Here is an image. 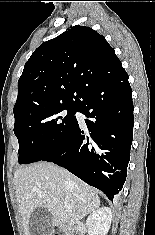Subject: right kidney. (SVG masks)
I'll list each match as a JSON object with an SVG mask.
<instances>
[{
    "instance_id": "obj_1",
    "label": "right kidney",
    "mask_w": 155,
    "mask_h": 235,
    "mask_svg": "<svg viewBox=\"0 0 155 235\" xmlns=\"http://www.w3.org/2000/svg\"><path fill=\"white\" fill-rule=\"evenodd\" d=\"M112 222L110 208H99L90 214L86 220L88 235H107Z\"/></svg>"
}]
</instances>
